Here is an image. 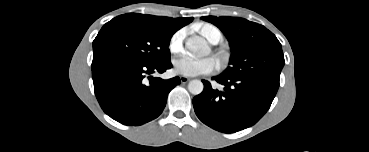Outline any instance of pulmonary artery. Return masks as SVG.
Segmentation results:
<instances>
[{
    "instance_id": "1",
    "label": "pulmonary artery",
    "mask_w": 369,
    "mask_h": 152,
    "mask_svg": "<svg viewBox=\"0 0 369 152\" xmlns=\"http://www.w3.org/2000/svg\"><path fill=\"white\" fill-rule=\"evenodd\" d=\"M219 39H220V36H219V35H216V37H215V41H214V43H213V44L218 43V42H219Z\"/></svg>"
}]
</instances>
